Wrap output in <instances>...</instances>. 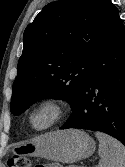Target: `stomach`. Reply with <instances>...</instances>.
I'll list each match as a JSON object with an SVG mask.
<instances>
[{
    "label": "stomach",
    "instance_id": "obj_1",
    "mask_svg": "<svg viewBox=\"0 0 125 167\" xmlns=\"http://www.w3.org/2000/svg\"><path fill=\"white\" fill-rule=\"evenodd\" d=\"M94 140L84 131L58 130L20 144L15 151L23 156L41 157L54 162L74 163L91 156Z\"/></svg>",
    "mask_w": 125,
    "mask_h": 167
}]
</instances>
